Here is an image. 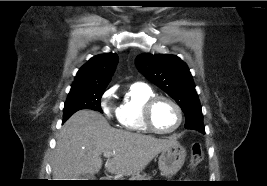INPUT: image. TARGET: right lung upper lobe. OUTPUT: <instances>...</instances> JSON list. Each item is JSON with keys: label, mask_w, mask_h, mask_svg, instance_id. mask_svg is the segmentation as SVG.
Masks as SVG:
<instances>
[{"label": "right lung upper lobe", "mask_w": 267, "mask_h": 186, "mask_svg": "<svg viewBox=\"0 0 267 186\" xmlns=\"http://www.w3.org/2000/svg\"><path fill=\"white\" fill-rule=\"evenodd\" d=\"M118 56L106 53L92 57L76 74L70 91L105 89L114 73Z\"/></svg>", "instance_id": "1"}]
</instances>
